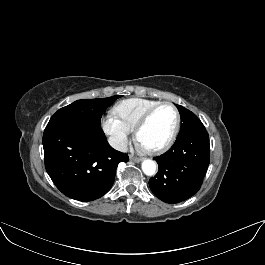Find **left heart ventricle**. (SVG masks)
I'll return each instance as SVG.
<instances>
[{"label":"left heart ventricle","instance_id":"obj_1","mask_svg":"<svg viewBox=\"0 0 265 265\" xmlns=\"http://www.w3.org/2000/svg\"><path fill=\"white\" fill-rule=\"evenodd\" d=\"M175 113L171 107L160 108L139 134V142L145 148L162 145L171 135L175 126Z\"/></svg>","mask_w":265,"mask_h":265}]
</instances>
